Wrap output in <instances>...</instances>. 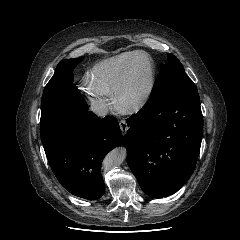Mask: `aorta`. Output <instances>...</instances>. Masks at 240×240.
Returning <instances> with one entry per match:
<instances>
[{"label":"aorta","instance_id":"762f6f07","mask_svg":"<svg viewBox=\"0 0 240 240\" xmlns=\"http://www.w3.org/2000/svg\"><path fill=\"white\" fill-rule=\"evenodd\" d=\"M127 156V150L125 147H117L113 149L108 155L106 156L105 163L108 166L116 167L119 166Z\"/></svg>","mask_w":240,"mask_h":240}]
</instances>
